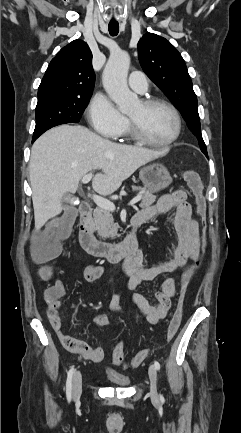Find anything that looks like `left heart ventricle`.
<instances>
[{
    "label": "left heart ventricle",
    "mask_w": 241,
    "mask_h": 433,
    "mask_svg": "<svg viewBox=\"0 0 241 433\" xmlns=\"http://www.w3.org/2000/svg\"><path fill=\"white\" fill-rule=\"evenodd\" d=\"M128 116L143 134L153 141H166L176 130L174 115L164 106L147 108L139 102L131 109Z\"/></svg>",
    "instance_id": "obj_1"
}]
</instances>
